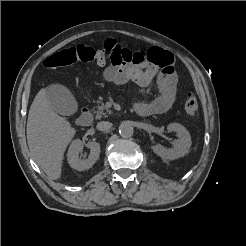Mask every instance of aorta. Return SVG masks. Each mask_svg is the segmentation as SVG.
Here are the masks:
<instances>
[{
    "label": "aorta",
    "mask_w": 246,
    "mask_h": 246,
    "mask_svg": "<svg viewBox=\"0 0 246 246\" xmlns=\"http://www.w3.org/2000/svg\"><path fill=\"white\" fill-rule=\"evenodd\" d=\"M134 133V129L133 126L128 123V122H124L119 126V134L122 137H131Z\"/></svg>",
    "instance_id": "762f6f07"
}]
</instances>
